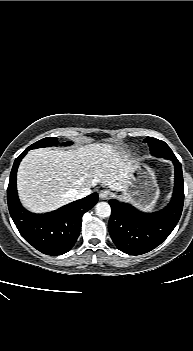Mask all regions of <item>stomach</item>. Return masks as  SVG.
I'll use <instances>...</instances> for the list:
<instances>
[{
	"label": "stomach",
	"mask_w": 193,
	"mask_h": 351,
	"mask_svg": "<svg viewBox=\"0 0 193 351\" xmlns=\"http://www.w3.org/2000/svg\"><path fill=\"white\" fill-rule=\"evenodd\" d=\"M160 190L154 171L145 164H139L132 170L130 183L121 198L129 201L144 211H151L158 198Z\"/></svg>",
	"instance_id": "0dacf381"
}]
</instances>
